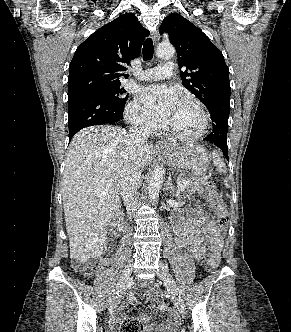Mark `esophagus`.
I'll list each match as a JSON object with an SVG mask.
<instances>
[{
    "label": "esophagus",
    "mask_w": 291,
    "mask_h": 332,
    "mask_svg": "<svg viewBox=\"0 0 291 332\" xmlns=\"http://www.w3.org/2000/svg\"><path fill=\"white\" fill-rule=\"evenodd\" d=\"M152 39H153V42L155 45H157L159 43V40H160V35H159V32L157 30L153 31L152 32ZM167 147V144L163 141H158L156 143V148H166Z\"/></svg>",
    "instance_id": "1"
}]
</instances>
